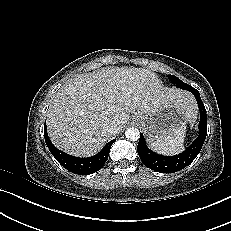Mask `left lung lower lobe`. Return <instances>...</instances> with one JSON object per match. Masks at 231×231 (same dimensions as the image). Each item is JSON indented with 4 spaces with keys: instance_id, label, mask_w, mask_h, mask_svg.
<instances>
[{
    "instance_id": "left-lung-lower-lobe-1",
    "label": "left lung lower lobe",
    "mask_w": 231,
    "mask_h": 231,
    "mask_svg": "<svg viewBox=\"0 0 231 231\" xmlns=\"http://www.w3.org/2000/svg\"><path fill=\"white\" fill-rule=\"evenodd\" d=\"M188 91L192 92V94L196 97L200 109L199 135L188 149L175 156L158 155L146 146L145 139L143 135L140 134V140L137 146L139 157L146 167L156 172L174 173L182 170L192 163L204 144L207 135L206 109L201 100L199 91L192 86L188 89Z\"/></svg>"
}]
</instances>
